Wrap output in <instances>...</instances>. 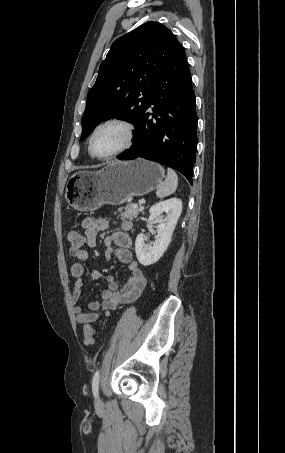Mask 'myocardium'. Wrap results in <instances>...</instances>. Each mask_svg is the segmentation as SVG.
<instances>
[{
    "instance_id": "f54148a6",
    "label": "myocardium",
    "mask_w": 285,
    "mask_h": 453,
    "mask_svg": "<svg viewBox=\"0 0 285 453\" xmlns=\"http://www.w3.org/2000/svg\"><path fill=\"white\" fill-rule=\"evenodd\" d=\"M111 124L119 125L125 129L126 141H125L124 145L122 147H120L119 149H117L116 151H114L110 154H107V155H103V156L98 155L93 150L94 136L96 135V133L99 129H101L104 126L111 125ZM135 139H136V128H135V125L131 121H129L125 118H121V117H112V118H108V119L100 122L98 125L95 126V128L93 129V131L91 132V135L89 137L88 149H89L90 154L94 158H97L99 160H107V159L115 158V157L125 153L126 151H128L134 145Z\"/></svg>"
}]
</instances>
